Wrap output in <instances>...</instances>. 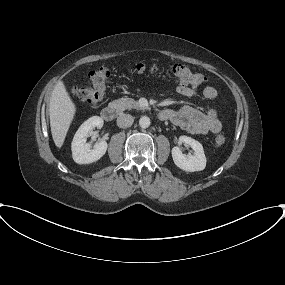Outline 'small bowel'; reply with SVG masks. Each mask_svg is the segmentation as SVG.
<instances>
[{
    "label": "small bowel",
    "instance_id": "c3829d8e",
    "mask_svg": "<svg viewBox=\"0 0 285 285\" xmlns=\"http://www.w3.org/2000/svg\"><path fill=\"white\" fill-rule=\"evenodd\" d=\"M177 93L187 98L201 95L207 100H214L218 97V91L212 86H207L199 92L192 86L180 84L177 87ZM163 111L165 112L163 120H168L194 135L216 134L222 129V121L214 108L201 111L189 105H183L178 110L165 109Z\"/></svg>",
    "mask_w": 285,
    "mask_h": 285
}]
</instances>
